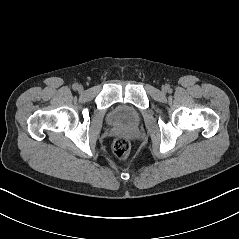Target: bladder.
Masks as SVG:
<instances>
[{
	"label": "bladder",
	"instance_id": "bladder-1",
	"mask_svg": "<svg viewBox=\"0 0 239 239\" xmlns=\"http://www.w3.org/2000/svg\"><path fill=\"white\" fill-rule=\"evenodd\" d=\"M108 121L114 125L136 127L141 122V113L131 105L118 104L109 112Z\"/></svg>",
	"mask_w": 239,
	"mask_h": 239
}]
</instances>
